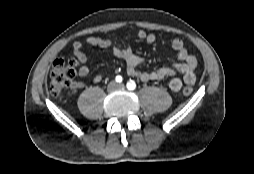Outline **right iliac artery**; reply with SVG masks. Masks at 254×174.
I'll list each match as a JSON object with an SVG mask.
<instances>
[{
	"mask_svg": "<svg viewBox=\"0 0 254 174\" xmlns=\"http://www.w3.org/2000/svg\"><path fill=\"white\" fill-rule=\"evenodd\" d=\"M115 80H116V82L121 83L123 79L120 75H118V76H116Z\"/></svg>",
	"mask_w": 254,
	"mask_h": 174,
	"instance_id": "82829eb1",
	"label": "right iliac artery"
}]
</instances>
